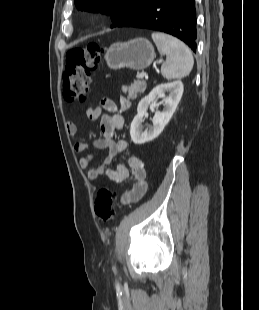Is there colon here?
Listing matches in <instances>:
<instances>
[{"label":"colon","instance_id":"colon-1","mask_svg":"<svg viewBox=\"0 0 259 310\" xmlns=\"http://www.w3.org/2000/svg\"><path fill=\"white\" fill-rule=\"evenodd\" d=\"M103 51L102 45L89 43L67 53L63 93L68 101L86 100L91 73L99 68ZM115 202L116 194L109 188H102L94 200L95 214L104 222L112 220Z\"/></svg>","mask_w":259,"mask_h":310}]
</instances>
